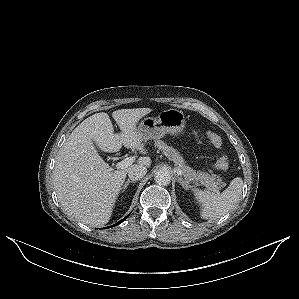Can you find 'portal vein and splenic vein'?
<instances>
[{
    "label": "portal vein and splenic vein",
    "mask_w": 299,
    "mask_h": 299,
    "mask_svg": "<svg viewBox=\"0 0 299 299\" xmlns=\"http://www.w3.org/2000/svg\"><path fill=\"white\" fill-rule=\"evenodd\" d=\"M135 161L134 157H127L123 160H121L120 162L116 163V168L117 169H124L129 167L130 165H132V163ZM177 174L178 175H182V170L177 169Z\"/></svg>",
    "instance_id": "portal-vein-and-splenic-vein-1"
}]
</instances>
